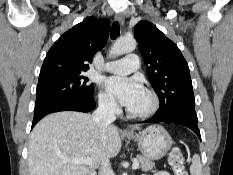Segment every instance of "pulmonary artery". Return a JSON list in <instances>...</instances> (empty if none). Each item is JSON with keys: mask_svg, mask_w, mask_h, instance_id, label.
Masks as SVG:
<instances>
[{"mask_svg": "<svg viewBox=\"0 0 233 175\" xmlns=\"http://www.w3.org/2000/svg\"><path fill=\"white\" fill-rule=\"evenodd\" d=\"M140 60L137 54H129L127 57L105 64V69L116 74H129L139 68Z\"/></svg>", "mask_w": 233, "mask_h": 175, "instance_id": "pulmonary-artery-1", "label": "pulmonary artery"}]
</instances>
